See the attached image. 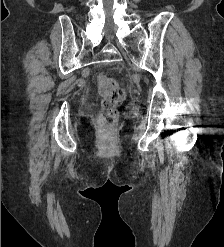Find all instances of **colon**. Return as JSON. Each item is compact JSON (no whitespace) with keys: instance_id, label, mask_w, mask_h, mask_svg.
Returning <instances> with one entry per match:
<instances>
[{"instance_id":"colon-1","label":"colon","mask_w":224,"mask_h":247,"mask_svg":"<svg viewBox=\"0 0 224 247\" xmlns=\"http://www.w3.org/2000/svg\"><path fill=\"white\" fill-rule=\"evenodd\" d=\"M97 85L102 97L101 125L109 127L117 121L118 107L122 103L125 93L116 80L104 74L97 76Z\"/></svg>"}]
</instances>
